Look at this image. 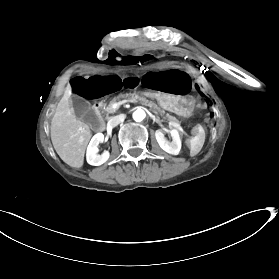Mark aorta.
I'll return each instance as SVG.
<instances>
[{"instance_id":"aorta-1","label":"aorta","mask_w":279,"mask_h":279,"mask_svg":"<svg viewBox=\"0 0 279 279\" xmlns=\"http://www.w3.org/2000/svg\"><path fill=\"white\" fill-rule=\"evenodd\" d=\"M146 114L145 111L142 109H137L133 112L132 117L136 122H140L145 118Z\"/></svg>"}]
</instances>
